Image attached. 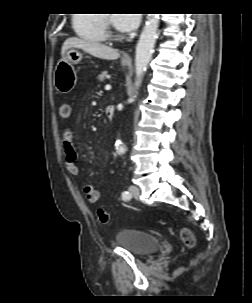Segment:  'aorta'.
Wrapping results in <instances>:
<instances>
[{"mask_svg": "<svg viewBox=\"0 0 252 303\" xmlns=\"http://www.w3.org/2000/svg\"><path fill=\"white\" fill-rule=\"evenodd\" d=\"M159 25V14H149L145 26L140 34L139 41L136 46L135 54V88L138 89L147 66L151 60L155 42L157 39V30ZM116 152L122 155L126 152L125 145L117 140L115 144Z\"/></svg>", "mask_w": 252, "mask_h": 303, "instance_id": "obj_1", "label": "aorta"}]
</instances>
